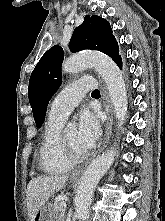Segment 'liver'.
Returning a JSON list of instances; mask_svg holds the SVG:
<instances>
[{
  "mask_svg": "<svg viewBox=\"0 0 165 221\" xmlns=\"http://www.w3.org/2000/svg\"><path fill=\"white\" fill-rule=\"evenodd\" d=\"M68 176H38L33 178L26 190L27 211L30 221H34L37 211L51 196L60 191Z\"/></svg>",
  "mask_w": 165,
  "mask_h": 221,
  "instance_id": "1",
  "label": "liver"
}]
</instances>
